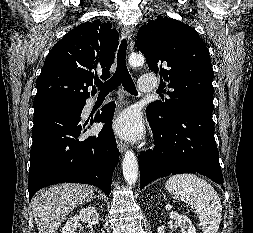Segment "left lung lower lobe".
<instances>
[{
	"instance_id": "0a47b994",
	"label": "left lung lower lobe",
	"mask_w": 253,
	"mask_h": 233,
	"mask_svg": "<svg viewBox=\"0 0 253 233\" xmlns=\"http://www.w3.org/2000/svg\"><path fill=\"white\" fill-rule=\"evenodd\" d=\"M146 114L156 144L153 150L140 153V189L171 174L199 173L224 190L212 110L193 107L179 111L169 125L156 120L148 107Z\"/></svg>"
}]
</instances>
